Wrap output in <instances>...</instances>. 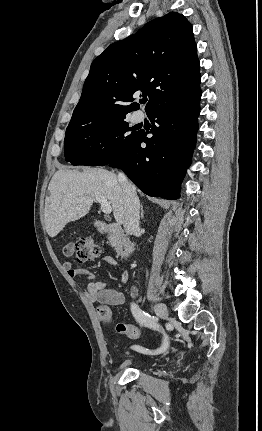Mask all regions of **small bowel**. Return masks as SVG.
Masks as SVG:
<instances>
[{"label":"small bowel","mask_w":262,"mask_h":431,"mask_svg":"<svg viewBox=\"0 0 262 431\" xmlns=\"http://www.w3.org/2000/svg\"><path fill=\"white\" fill-rule=\"evenodd\" d=\"M105 261L114 267H118L117 261L112 257H106ZM63 266L68 277L72 279L87 276L88 281L86 284L85 296L89 302L98 303L99 314L106 311L108 316L112 318L113 315L110 307L118 306L125 302L123 292L116 289L106 288L105 282L95 280L94 276L85 269L74 267L72 262L69 260H65L63 262ZM121 281L123 284H126L129 281V274L124 269H121ZM134 293L136 294L135 290ZM167 340L169 342L168 336Z\"/></svg>","instance_id":"obj_1"}]
</instances>
